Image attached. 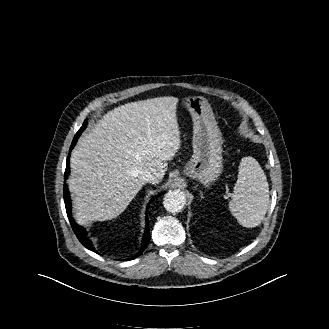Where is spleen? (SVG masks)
<instances>
[{"label":"spleen","mask_w":329,"mask_h":329,"mask_svg":"<svg viewBox=\"0 0 329 329\" xmlns=\"http://www.w3.org/2000/svg\"><path fill=\"white\" fill-rule=\"evenodd\" d=\"M238 170L229 210L243 227H256L263 220L270 204L269 184L253 157H243Z\"/></svg>","instance_id":"spleen-1"}]
</instances>
